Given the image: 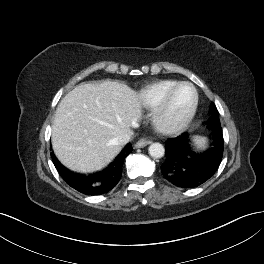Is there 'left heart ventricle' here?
Instances as JSON below:
<instances>
[{"mask_svg": "<svg viewBox=\"0 0 264 264\" xmlns=\"http://www.w3.org/2000/svg\"><path fill=\"white\" fill-rule=\"evenodd\" d=\"M193 100L192 89L188 86L181 87L174 95L168 118L171 121L180 120L189 109Z\"/></svg>", "mask_w": 264, "mask_h": 264, "instance_id": "1", "label": "left heart ventricle"}]
</instances>
